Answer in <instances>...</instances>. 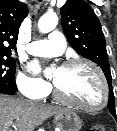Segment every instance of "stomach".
Returning a JSON list of instances; mask_svg holds the SVG:
<instances>
[{"label": "stomach", "mask_w": 117, "mask_h": 131, "mask_svg": "<svg viewBox=\"0 0 117 131\" xmlns=\"http://www.w3.org/2000/svg\"><path fill=\"white\" fill-rule=\"evenodd\" d=\"M54 124L59 131H80L82 120L76 113L67 110L55 115Z\"/></svg>", "instance_id": "obj_1"}]
</instances>
